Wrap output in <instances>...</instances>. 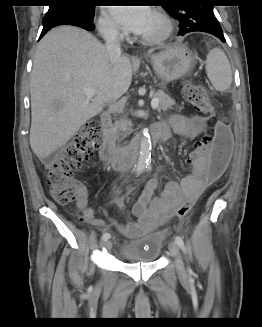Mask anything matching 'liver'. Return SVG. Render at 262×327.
<instances>
[{
  "label": "liver",
  "mask_w": 262,
  "mask_h": 327,
  "mask_svg": "<svg viewBox=\"0 0 262 327\" xmlns=\"http://www.w3.org/2000/svg\"><path fill=\"white\" fill-rule=\"evenodd\" d=\"M127 56L111 60L91 33L71 26L50 31L38 44L30 79V146L42 161L63 147L89 119L127 92ZM96 94L87 97L84 90Z\"/></svg>",
  "instance_id": "1"
}]
</instances>
